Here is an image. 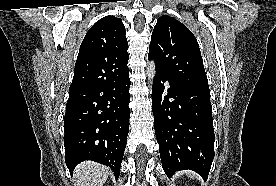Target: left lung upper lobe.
Instances as JSON below:
<instances>
[{"label": "left lung upper lobe", "instance_id": "1", "mask_svg": "<svg viewBox=\"0 0 276 186\" xmlns=\"http://www.w3.org/2000/svg\"><path fill=\"white\" fill-rule=\"evenodd\" d=\"M148 59H154L157 71L174 80L209 89L198 42L193 33L173 17L158 18Z\"/></svg>", "mask_w": 276, "mask_h": 186}]
</instances>
